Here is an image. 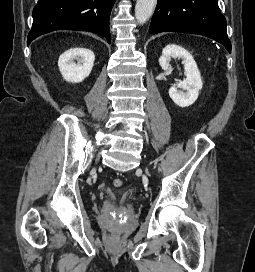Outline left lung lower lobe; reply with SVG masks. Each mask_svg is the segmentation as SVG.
Instances as JSON below:
<instances>
[{
	"mask_svg": "<svg viewBox=\"0 0 255 272\" xmlns=\"http://www.w3.org/2000/svg\"><path fill=\"white\" fill-rule=\"evenodd\" d=\"M183 32L200 34L223 44L231 52L226 19L217 0H157L150 34Z\"/></svg>",
	"mask_w": 255,
	"mask_h": 272,
	"instance_id": "1",
	"label": "left lung lower lobe"
}]
</instances>
